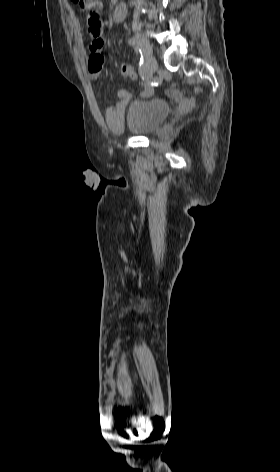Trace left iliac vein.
Returning a JSON list of instances; mask_svg holds the SVG:
<instances>
[{
  "instance_id": "1",
  "label": "left iliac vein",
  "mask_w": 280,
  "mask_h": 472,
  "mask_svg": "<svg viewBox=\"0 0 280 472\" xmlns=\"http://www.w3.org/2000/svg\"><path fill=\"white\" fill-rule=\"evenodd\" d=\"M148 48H149V52H148V56H147V60H146V69L150 72V73H153L155 72L157 69H158V63H157V60L156 58L152 55V48L151 46L145 42V41H142Z\"/></svg>"
}]
</instances>
